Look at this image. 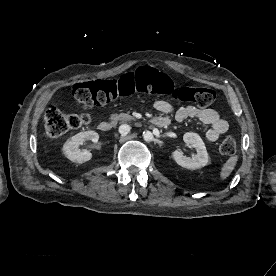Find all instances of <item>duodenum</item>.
Segmentation results:
<instances>
[{
	"instance_id": "410a0bca",
	"label": "duodenum",
	"mask_w": 276,
	"mask_h": 276,
	"mask_svg": "<svg viewBox=\"0 0 276 276\" xmlns=\"http://www.w3.org/2000/svg\"><path fill=\"white\" fill-rule=\"evenodd\" d=\"M152 125L157 126V127H166L169 125V121L165 118L162 117H156L152 119L151 121ZM111 123L108 121H101L98 124V129L102 132H109L111 130Z\"/></svg>"
}]
</instances>
